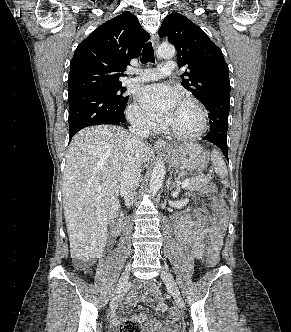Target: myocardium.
<instances>
[{"label": "myocardium", "instance_id": "myocardium-1", "mask_svg": "<svg viewBox=\"0 0 291 332\" xmlns=\"http://www.w3.org/2000/svg\"><path fill=\"white\" fill-rule=\"evenodd\" d=\"M181 101L184 103H189L196 108L200 118V125L198 129L193 132H180L171 126L168 127V131L170 134L180 139H195L202 136L207 131L209 126L208 116L204 106L199 100L193 97H183Z\"/></svg>", "mask_w": 291, "mask_h": 332}]
</instances>
